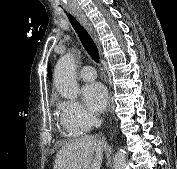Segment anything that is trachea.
Masks as SVG:
<instances>
[{"mask_svg": "<svg viewBox=\"0 0 177 169\" xmlns=\"http://www.w3.org/2000/svg\"><path fill=\"white\" fill-rule=\"evenodd\" d=\"M67 16L75 32L77 33L83 47L85 48L87 53L90 55V57L95 62L98 63L99 62L98 49L94 41L92 40L91 36L88 34V32L84 29V27L78 22V20L74 16L70 14H67Z\"/></svg>", "mask_w": 177, "mask_h": 169, "instance_id": "3493384b", "label": "trachea"}]
</instances>
